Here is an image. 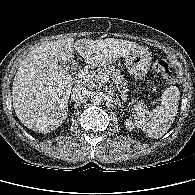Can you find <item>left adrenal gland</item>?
Wrapping results in <instances>:
<instances>
[{
	"mask_svg": "<svg viewBox=\"0 0 195 195\" xmlns=\"http://www.w3.org/2000/svg\"><path fill=\"white\" fill-rule=\"evenodd\" d=\"M116 103H117L120 107L122 106L120 101L117 100Z\"/></svg>",
	"mask_w": 195,
	"mask_h": 195,
	"instance_id": "1",
	"label": "left adrenal gland"
}]
</instances>
